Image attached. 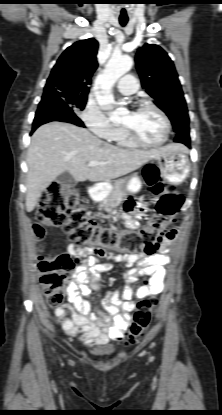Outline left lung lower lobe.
<instances>
[{"mask_svg": "<svg viewBox=\"0 0 222 415\" xmlns=\"http://www.w3.org/2000/svg\"><path fill=\"white\" fill-rule=\"evenodd\" d=\"M174 141L175 142H179V143H183L187 147L190 148V136H189V132H180V133L176 134V137H175Z\"/></svg>", "mask_w": 222, "mask_h": 415, "instance_id": "1", "label": "left lung lower lobe"}]
</instances>
